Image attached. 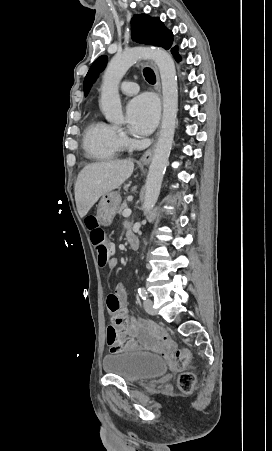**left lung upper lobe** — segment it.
<instances>
[{"instance_id":"obj_1","label":"left lung upper lobe","mask_w":272,"mask_h":451,"mask_svg":"<svg viewBox=\"0 0 272 451\" xmlns=\"http://www.w3.org/2000/svg\"><path fill=\"white\" fill-rule=\"evenodd\" d=\"M132 39L138 43L160 46L169 49L173 43V34L159 18H152L146 14H136L131 19ZM107 56H100L90 67L84 79V93L88 94L91 84L98 74L105 68Z\"/></svg>"}]
</instances>
